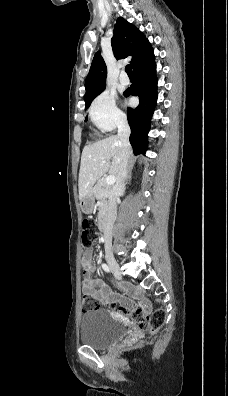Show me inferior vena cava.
Instances as JSON below:
<instances>
[{"mask_svg":"<svg viewBox=\"0 0 228 396\" xmlns=\"http://www.w3.org/2000/svg\"><path fill=\"white\" fill-rule=\"evenodd\" d=\"M130 126L126 119H121L118 122V137L122 146L121 164L117 182L112 189V194L109 200L108 224L105 229V252L112 254V228L113 222L116 218V201L119 196L123 195L125 191V179L127 178L128 158L131 153V146L129 143Z\"/></svg>","mask_w":228,"mask_h":396,"instance_id":"inferior-vena-cava-1","label":"inferior vena cava"}]
</instances>
